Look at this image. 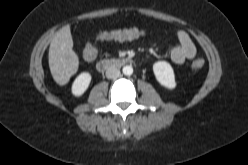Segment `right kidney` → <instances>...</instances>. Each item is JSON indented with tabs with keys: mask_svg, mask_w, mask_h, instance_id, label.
Segmentation results:
<instances>
[{
	"mask_svg": "<svg viewBox=\"0 0 248 165\" xmlns=\"http://www.w3.org/2000/svg\"><path fill=\"white\" fill-rule=\"evenodd\" d=\"M91 78V74L88 72L78 75L72 84V94L77 97L81 96L88 89Z\"/></svg>",
	"mask_w": 248,
	"mask_h": 165,
	"instance_id": "ca27d5eb",
	"label": "right kidney"
}]
</instances>
